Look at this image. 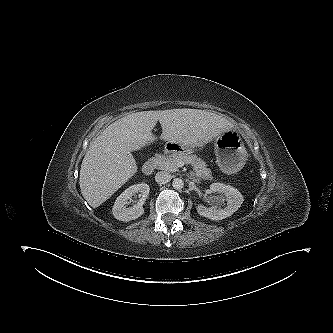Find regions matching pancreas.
<instances>
[{
	"instance_id": "1",
	"label": "pancreas",
	"mask_w": 333,
	"mask_h": 333,
	"mask_svg": "<svg viewBox=\"0 0 333 333\" xmlns=\"http://www.w3.org/2000/svg\"><path fill=\"white\" fill-rule=\"evenodd\" d=\"M178 161L190 164L198 178L205 180L212 179L211 170L206 167V163L198 156L192 154H173L168 156L161 162L160 167L164 170L176 171Z\"/></svg>"
}]
</instances>
